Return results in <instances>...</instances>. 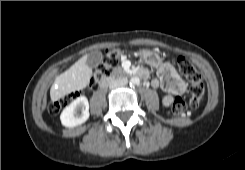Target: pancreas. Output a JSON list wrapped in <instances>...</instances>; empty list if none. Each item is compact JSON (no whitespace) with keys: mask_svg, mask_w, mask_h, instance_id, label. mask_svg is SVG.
Instances as JSON below:
<instances>
[{"mask_svg":"<svg viewBox=\"0 0 245 170\" xmlns=\"http://www.w3.org/2000/svg\"><path fill=\"white\" fill-rule=\"evenodd\" d=\"M123 73V70L118 67L117 69H115L112 73H111V77H114L116 75H119V74H122Z\"/></svg>","mask_w":245,"mask_h":170,"instance_id":"cf45deb5","label":"pancreas"}]
</instances>
